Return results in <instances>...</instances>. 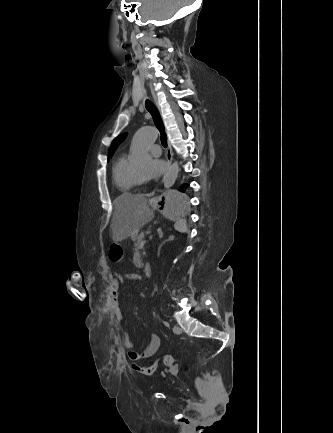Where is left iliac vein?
<instances>
[{
  "label": "left iliac vein",
  "mask_w": 333,
  "mask_h": 433,
  "mask_svg": "<svg viewBox=\"0 0 333 433\" xmlns=\"http://www.w3.org/2000/svg\"><path fill=\"white\" fill-rule=\"evenodd\" d=\"M173 332L175 334H181L182 333V329L179 326H174L173 327Z\"/></svg>",
  "instance_id": "obj_1"
}]
</instances>
